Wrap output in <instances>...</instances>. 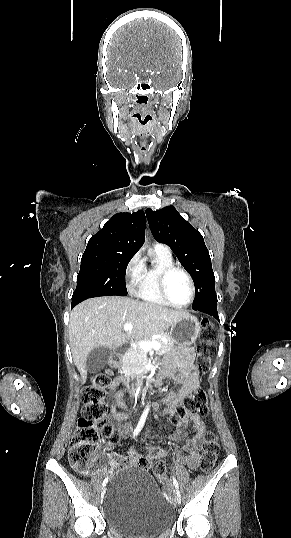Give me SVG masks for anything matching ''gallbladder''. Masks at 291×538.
<instances>
[{"mask_svg": "<svg viewBox=\"0 0 291 538\" xmlns=\"http://www.w3.org/2000/svg\"><path fill=\"white\" fill-rule=\"evenodd\" d=\"M111 355V350L106 347H98L93 349L86 359V370L90 373H97L101 371Z\"/></svg>", "mask_w": 291, "mask_h": 538, "instance_id": "bac80fb5", "label": "gallbladder"}]
</instances>
